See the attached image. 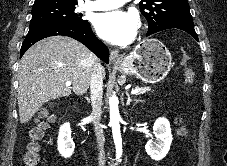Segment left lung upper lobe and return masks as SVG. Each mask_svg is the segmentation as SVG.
<instances>
[{
    "label": "left lung upper lobe",
    "instance_id": "1",
    "mask_svg": "<svg viewBox=\"0 0 227 166\" xmlns=\"http://www.w3.org/2000/svg\"><path fill=\"white\" fill-rule=\"evenodd\" d=\"M139 7L148 21V36L173 26L193 23L187 0H142Z\"/></svg>",
    "mask_w": 227,
    "mask_h": 166
}]
</instances>
